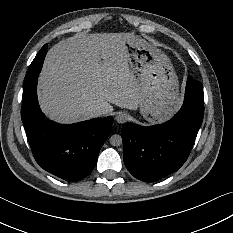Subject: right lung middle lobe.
<instances>
[{
  "label": "right lung middle lobe",
  "instance_id": "obj_1",
  "mask_svg": "<svg viewBox=\"0 0 233 233\" xmlns=\"http://www.w3.org/2000/svg\"><path fill=\"white\" fill-rule=\"evenodd\" d=\"M38 57H40L39 54H37V56L35 57V59L33 60V62L30 65V68L28 70V73L25 76V80H24V86H26L28 83H30L33 80V76L38 75V73L41 70V67L36 71L37 69V65L36 63H38Z\"/></svg>",
  "mask_w": 233,
  "mask_h": 233
}]
</instances>
